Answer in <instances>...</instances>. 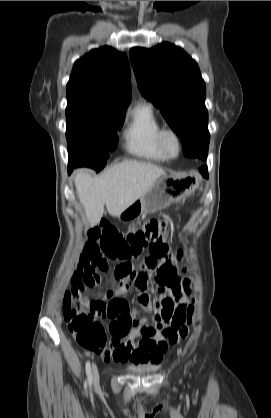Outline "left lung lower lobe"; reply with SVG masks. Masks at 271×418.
<instances>
[{
	"instance_id": "left-lung-lower-lobe-1",
	"label": "left lung lower lobe",
	"mask_w": 271,
	"mask_h": 418,
	"mask_svg": "<svg viewBox=\"0 0 271 418\" xmlns=\"http://www.w3.org/2000/svg\"><path fill=\"white\" fill-rule=\"evenodd\" d=\"M200 171L202 172V174L207 175V167H203L200 169Z\"/></svg>"
}]
</instances>
